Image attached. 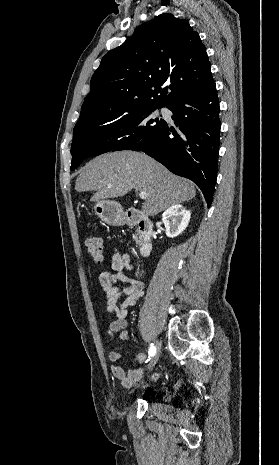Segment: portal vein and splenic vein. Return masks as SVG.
<instances>
[{
	"instance_id": "portal-vein-and-splenic-vein-1",
	"label": "portal vein and splenic vein",
	"mask_w": 279,
	"mask_h": 465,
	"mask_svg": "<svg viewBox=\"0 0 279 465\" xmlns=\"http://www.w3.org/2000/svg\"><path fill=\"white\" fill-rule=\"evenodd\" d=\"M139 196H140L141 199L144 200V199H146L147 194H146V192H140Z\"/></svg>"
}]
</instances>
